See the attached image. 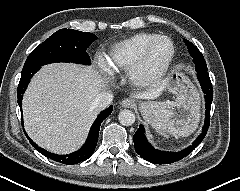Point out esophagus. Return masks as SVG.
<instances>
[{
    "instance_id": "obj_1",
    "label": "esophagus",
    "mask_w": 240,
    "mask_h": 191,
    "mask_svg": "<svg viewBox=\"0 0 240 191\" xmlns=\"http://www.w3.org/2000/svg\"><path fill=\"white\" fill-rule=\"evenodd\" d=\"M120 104L124 108H133L136 105V101L134 99H124Z\"/></svg>"
}]
</instances>
